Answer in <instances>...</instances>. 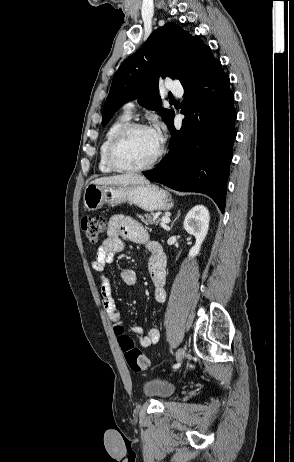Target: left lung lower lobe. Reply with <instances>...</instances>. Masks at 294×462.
Wrapping results in <instances>:
<instances>
[{"mask_svg":"<svg viewBox=\"0 0 294 462\" xmlns=\"http://www.w3.org/2000/svg\"><path fill=\"white\" fill-rule=\"evenodd\" d=\"M182 85L183 125L176 131L172 117L168 155L143 174L178 191L207 194L224 213L237 117L229 77L213 59Z\"/></svg>","mask_w":294,"mask_h":462,"instance_id":"left-lung-lower-lobe-1","label":"left lung lower lobe"}]
</instances>
